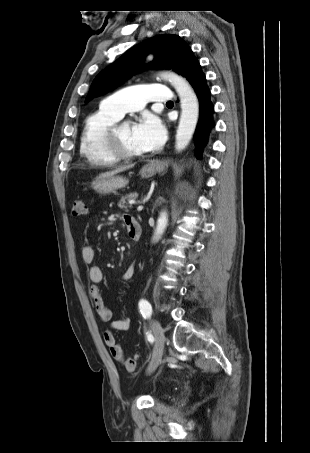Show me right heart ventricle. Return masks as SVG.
<instances>
[{
	"label": "right heart ventricle",
	"instance_id": "obj_1",
	"mask_svg": "<svg viewBox=\"0 0 310 453\" xmlns=\"http://www.w3.org/2000/svg\"><path fill=\"white\" fill-rule=\"evenodd\" d=\"M120 118L102 105L86 118L80 139V153L91 166L110 167L119 162L107 151L104 138Z\"/></svg>",
	"mask_w": 310,
	"mask_h": 453
}]
</instances>
